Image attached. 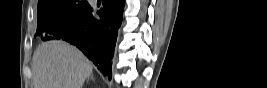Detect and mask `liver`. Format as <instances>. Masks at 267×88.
<instances>
[{
    "label": "liver",
    "mask_w": 267,
    "mask_h": 88,
    "mask_svg": "<svg viewBox=\"0 0 267 88\" xmlns=\"http://www.w3.org/2000/svg\"><path fill=\"white\" fill-rule=\"evenodd\" d=\"M34 88H82L92 74V65L83 53L67 42L41 43L32 60Z\"/></svg>",
    "instance_id": "1"
}]
</instances>
